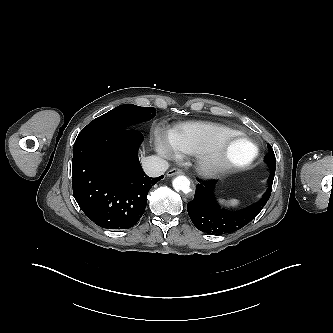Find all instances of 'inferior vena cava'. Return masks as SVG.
<instances>
[{"label": "inferior vena cava", "instance_id": "602c4592", "mask_svg": "<svg viewBox=\"0 0 333 333\" xmlns=\"http://www.w3.org/2000/svg\"><path fill=\"white\" fill-rule=\"evenodd\" d=\"M141 163L143 170L150 177H158L169 168L168 162L159 156L144 157Z\"/></svg>", "mask_w": 333, "mask_h": 333}]
</instances>
